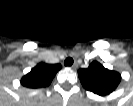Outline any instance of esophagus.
<instances>
[{
	"label": "esophagus",
	"instance_id": "1",
	"mask_svg": "<svg viewBox=\"0 0 133 106\" xmlns=\"http://www.w3.org/2000/svg\"><path fill=\"white\" fill-rule=\"evenodd\" d=\"M77 67H78V64H77V63H74V64L71 66V68H72L73 70L77 69Z\"/></svg>",
	"mask_w": 133,
	"mask_h": 106
}]
</instances>
